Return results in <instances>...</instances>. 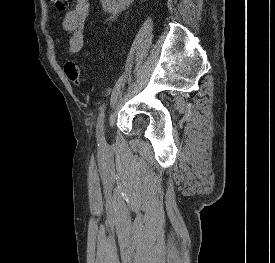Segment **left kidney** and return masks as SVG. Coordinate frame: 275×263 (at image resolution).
Listing matches in <instances>:
<instances>
[{
  "label": "left kidney",
  "instance_id": "5707ae66",
  "mask_svg": "<svg viewBox=\"0 0 275 263\" xmlns=\"http://www.w3.org/2000/svg\"><path fill=\"white\" fill-rule=\"evenodd\" d=\"M134 0H101L103 9L113 15L125 10Z\"/></svg>",
  "mask_w": 275,
  "mask_h": 263
}]
</instances>
